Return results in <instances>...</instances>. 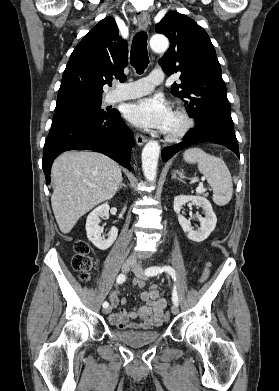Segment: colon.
<instances>
[{
  "mask_svg": "<svg viewBox=\"0 0 279 391\" xmlns=\"http://www.w3.org/2000/svg\"><path fill=\"white\" fill-rule=\"evenodd\" d=\"M75 255L72 259V267L78 273L79 278L83 281H88L91 277V271L93 268V260L90 256L91 247L84 240H78L74 244ZM210 263L206 264L204 272L201 277V282L207 280L210 274ZM164 318L167 320L170 318V313L166 312Z\"/></svg>",
  "mask_w": 279,
  "mask_h": 391,
  "instance_id": "5ec220e1",
  "label": "colon"
}]
</instances>
